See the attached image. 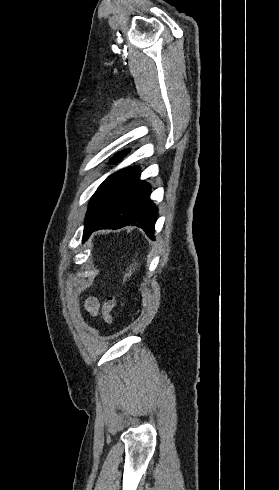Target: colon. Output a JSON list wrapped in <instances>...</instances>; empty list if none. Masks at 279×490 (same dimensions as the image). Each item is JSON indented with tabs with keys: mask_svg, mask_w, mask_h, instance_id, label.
<instances>
[{
	"mask_svg": "<svg viewBox=\"0 0 279 490\" xmlns=\"http://www.w3.org/2000/svg\"><path fill=\"white\" fill-rule=\"evenodd\" d=\"M116 309V300L111 296L105 298L101 308V315L104 323H110L112 321Z\"/></svg>",
	"mask_w": 279,
	"mask_h": 490,
	"instance_id": "5ec220e1",
	"label": "colon"
}]
</instances>
